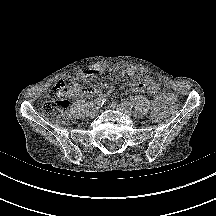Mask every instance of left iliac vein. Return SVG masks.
Masks as SVG:
<instances>
[{
    "mask_svg": "<svg viewBox=\"0 0 216 216\" xmlns=\"http://www.w3.org/2000/svg\"><path fill=\"white\" fill-rule=\"evenodd\" d=\"M110 107L113 108V109L122 111V112H124L125 114H128V115H132V113H133L130 108H126V107H124V106H122V105H120L119 103H116V102L110 103Z\"/></svg>",
    "mask_w": 216,
    "mask_h": 216,
    "instance_id": "4c4485c4",
    "label": "left iliac vein"
}]
</instances>
